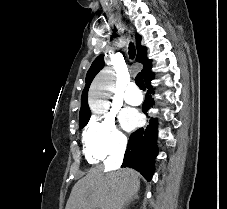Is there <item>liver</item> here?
<instances>
[{
  "label": "liver",
  "mask_w": 227,
  "mask_h": 209,
  "mask_svg": "<svg viewBox=\"0 0 227 209\" xmlns=\"http://www.w3.org/2000/svg\"><path fill=\"white\" fill-rule=\"evenodd\" d=\"M139 187V175L133 169L103 173L98 165L74 185L66 209H122Z\"/></svg>",
  "instance_id": "6515ba94"
}]
</instances>
